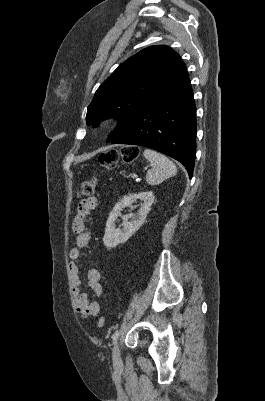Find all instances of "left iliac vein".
I'll return each mask as SVG.
<instances>
[{"label":"left iliac vein","mask_w":265,"mask_h":401,"mask_svg":"<svg viewBox=\"0 0 265 401\" xmlns=\"http://www.w3.org/2000/svg\"><path fill=\"white\" fill-rule=\"evenodd\" d=\"M112 358H113L114 364H119L120 361H121L120 348H119V344L118 343H116L114 348H113Z\"/></svg>","instance_id":"left-iliac-vein-1"}]
</instances>
